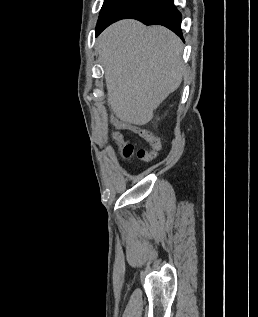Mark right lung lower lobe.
<instances>
[{"mask_svg":"<svg viewBox=\"0 0 258 317\" xmlns=\"http://www.w3.org/2000/svg\"><path fill=\"white\" fill-rule=\"evenodd\" d=\"M125 18H133L146 25H163L183 39L182 16L173 0H105L96 26V36L110 24Z\"/></svg>","mask_w":258,"mask_h":317,"instance_id":"obj_1","label":"right lung lower lobe"}]
</instances>
